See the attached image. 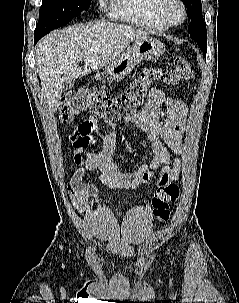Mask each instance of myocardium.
I'll use <instances>...</instances> for the list:
<instances>
[{
    "label": "myocardium",
    "instance_id": "obj_1",
    "mask_svg": "<svg viewBox=\"0 0 239 303\" xmlns=\"http://www.w3.org/2000/svg\"><path fill=\"white\" fill-rule=\"evenodd\" d=\"M172 3L177 4L181 9L182 17L180 21H174L168 14V6ZM155 12L159 19L167 26H180L187 19V8L182 0H158Z\"/></svg>",
    "mask_w": 239,
    "mask_h": 303
}]
</instances>
